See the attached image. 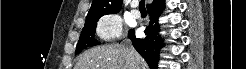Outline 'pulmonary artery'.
I'll return each mask as SVG.
<instances>
[{
    "mask_svg": "<svg viewBox=\"0 0 246 69\" xmlns=\"http://www.w3.org/2000/svg\"><path fill=\"white\" fill-rule=\"evenodd\" d=\"M131 16L134 18H138L140 16V12L137 10H132L131 11Z\"/></svg>",
    "mask_w": 246,
    "mask_h": 69,
    "instance_id": "e3ab8cb5",
    "label": "pulmonary artery"
}]
</instances>
